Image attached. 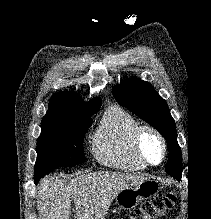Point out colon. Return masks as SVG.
<instances>
[{
	"instance_id": "colon-1",
	"label": "colon",
	"mask_w": 211,
	"mask_h": 219,
	"mask_svg": "<svg viewBox=\"0 0 211 219\" xmlns=\"http://www.w3.org/2000/svg\"><path fill=\"white\" fill-rule=\"evenodd\" d=\"M174 201L175 196L172 193L155 196L121 219H157L173 206Z\"/></svg>"
}]
</instances>
